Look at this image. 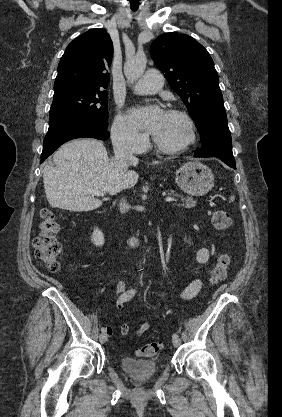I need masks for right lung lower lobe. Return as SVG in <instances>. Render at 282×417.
Instances as JSON below:
<instances>
[{
    "label": "right lung lower lobe",
    "instance_id": "98d812e1",
    "mask_svg": "<svg viewBox=\"0 0 282 417\" xmlns=\"http://www.w3.org/2000/svg\"><path fill=\"white\" fill-rule=\"evenodd\" d=\"M110 136L107 129L100 127L96 122L84 118L73 117L49 125L48 133L44 138L41 162L51 155L63 143L82 137H91L106 140Z\"/></svg>",
    "mask_w": 282,
    "mask_h": 417
}]
</instances>
